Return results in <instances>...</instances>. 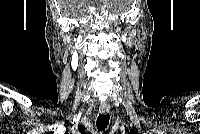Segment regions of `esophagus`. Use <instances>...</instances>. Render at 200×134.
Masks as SVG:
<instances>
[{
  "instance_id": "34e87169",
  "label": "esophagus",
  "mask_w": 200,
  "mask_h": 134,
  "mask_svg": "<svg viewBox=\"0 0 200 134\" xmlns=\"http://www.w3.org/2000/svg\"><path fill=\"white\" fill-rule=\"evenodd\" d=\"M99 111L101 114H107L109 113L110 111V105L108 104H101L100 107H99Z\"/></svg>"
}]
</instances>
